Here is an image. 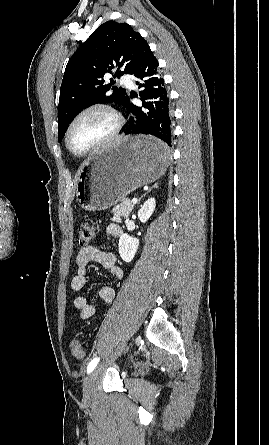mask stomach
I'll list each match as a JSON object with an SVG mask.
<instances>
[{"label":"stomach","instance_id":"0dacf381","mask_svg":"<svg viewBox=\"0 0 269 445\" xmlns=\"http://www.w3.org/2000/svg\"><path fill=\"white\" fill-rule=\"evenodd\" d=\"M155 139L129 136L96 152L82 166L76 181V199L88 211L108 209L137 188L156 181L166 171L169 154L145 152Z\"/></svg>","mask_w":269,"mask_h":445}]
</instances>
